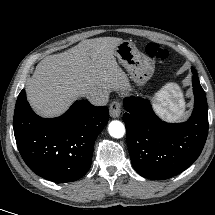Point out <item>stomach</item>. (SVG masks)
Segmentation results:
<instances>
[{"label":"stomach","instance_id":"stomach-1","mask_svg":"<svg viewBox=\"0 0 215 215\" xmlns=\"http://www.w3.org/2000/svg\"><path fill=\"white\" fill-rule=\"evenodd\" d=\"M114 55L137 85H144L152 77L155 68L154 62L142 54L132 42L123 40L115 48ZM168 112L173 119L177 116L170 110Z\"/></svg>","mask_w":215,"mask_h":215}]
</instances>
